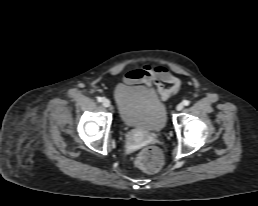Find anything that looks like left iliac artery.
I'll return each instance as SVG.
<instances>
[{
	"label": "left iliac artery",
	"mask_w": 258,
	"mask_h": 206,
	"mask_svg": "<svg viewBox=\"0 0 258 206\" xmlns=\"http://www.w3.org/2000/svg\"><path fill=\"white\" fill-rule=\"evenodd\" d=\"M189 104H190V102L188 100L183 101V105L188 106Z\"/></svg>",
	"instance_id": "obj_1"
}]
</instances>
